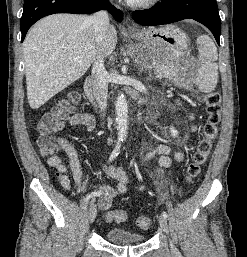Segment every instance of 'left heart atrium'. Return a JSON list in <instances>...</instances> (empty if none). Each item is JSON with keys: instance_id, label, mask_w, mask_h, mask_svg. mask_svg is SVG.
I'll list each match as a JSON object with an SVG mask.
<instances>
[{"instance_id": "1", "label": "left heart atrium", "mask_w": 247, "mask_h": 257, "mask_svg": "<svg viewBox=\"0 0 247 257\" xmlns=\"http://www.w3.org/2000/svg\"><path fill=\"white\" fill-rule=\"evenodd\" d=\"M128 2H134V1H138V0H127Z\"/></svg>"}]
</instances>
